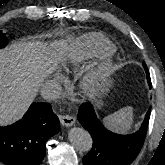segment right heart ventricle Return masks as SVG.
<instances>
[{
  "label": "right heart ventricle",
  "instance_id": "obj_1",
  "mask_svg": "<svg viewBox=\"0 0 165 165\" xmlns=\"http://www.w3.org/2000/svg\"><path fill=\"white\" fill-rule=\"evenodd\" d=\"M79 58H88L93 56H107L114 52V45L97 33L87 34L77 41Z\"/></svg>",
  "mask_w": 165,
  "mask_h": 165
}]
</instances>
